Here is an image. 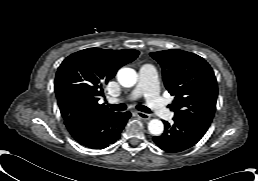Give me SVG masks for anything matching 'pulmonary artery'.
I'll use <instances>...</instances> for the list:
<instances>
[{"label": "pulmonary artery", "instance_id": "obj_1", "mask_svg": "<svg viewBox=\"0 0 258 181\" xmlns=\"http://www.w3.org/2000/svg\"><path fill=\"white\" fill-rule=\"evenodd\" d=\"M140 96L146 98L148 106L157 116L167 120L172 118L170 110L159 95L157 72L151 64H145L140 68L138 84L132 90L128 99L135 100ZM120 101L119 99H111L112 103Z\"/></svg>", "mask_w": 258, "mask_h": 181}]
</instances>
